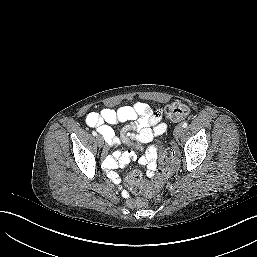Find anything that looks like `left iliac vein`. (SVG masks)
<instances>
[{
  "instance_id": "4c4485c4",
  "label": "left iliac vein",
  "mask_w": 257,
  "mask_h": 257,
  "mask_svg": "<svg viewBox=\"0 0 257 257\" xmlns=\"http://www.w3.org/2000/svg\"><path fill=\"white\" fill-rule=\"evenodd\" d=\"M184 132V128L181 125H178L174 129L175 138H179Z\"/></svg>"
}]
</instances>
